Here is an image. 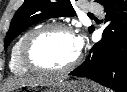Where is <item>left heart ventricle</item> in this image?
Listing matches in <instances>:
<instances>
[{
    "instance_id": "obj_1",
    "label": "left heart ventricle",
    "mask_w": 127,
    "mask_h": 92,
    "mask_svg": "<svg viewBox=\"0 0 127 92\" xmlns=\"http://www.w3.org/2000/svg\"><path fill=\"white\" fill-rule=\"evenodd\" d=\"M78 54L75 37L64 31H50L38 38L31 55L43 67L60 68L70 63Z\"/></svg>"
}]
</instances>
